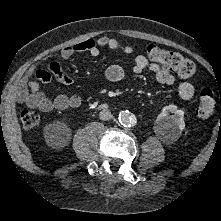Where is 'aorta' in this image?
Returning a JSON list of instances; mask_svg holds the SVG:
<instances>
[{"label": "aorta", "instance_id": "obj_1", "mask_svg": "<svg viewBox=\"0 0 221 221\" xmlns=\"http://www.w3.org/2000/svg\"><path fill=\"white\" fill-rule=\"evenodd\" d=\"M119 122L124 127H130L136 124V118L129 111H121L119 113Z\"/></svg>", "mask_w": 221, "mask_h": 221}]
</instances>
